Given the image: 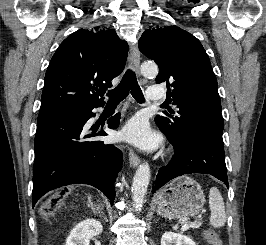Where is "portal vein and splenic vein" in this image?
I'll list each match as a JSON object with an SVG mask.
<instances>
[{
	"instance_id": "1",
	"label": "portal vein and splenic vein",
	"mask_w": 266,
	"mask_h": 245,
	"mask_svg": "<svg viewBox=\"0 0 266 245\" xmlns=\"http://www.w3.org/2000/svg\"><path fill=\"white\" fill-rule=\"evenodd\" d=\"M191 225H183L181 231H187V229H190Z\"/></svg>"
}]
</instances>
